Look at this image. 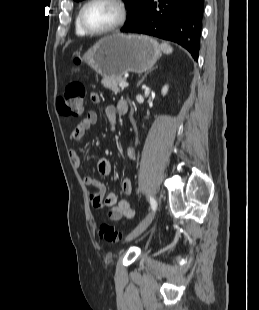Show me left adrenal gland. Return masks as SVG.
<instances>
[{
  "mask_svg": "<svg viewBox=\"0 0 259 310\" xmlns=\"http://www.w3.org/2000/svg\"><path fill=\"white\" fill-rule=\"evenodd\" d=\"M147 77V74H145L142 79L138 82V87L141 85V83L144 81V79Z\"/></svg>",
  "mask_w": 259,
  "mask_h": 310,
  "instance_id": "a2214340",
  "label": "left adrenal gland"
}]
</instances>
